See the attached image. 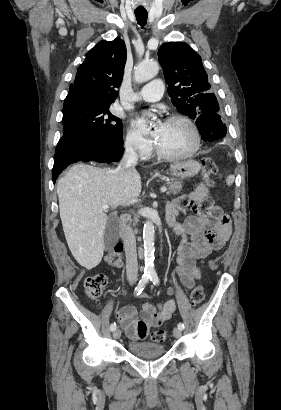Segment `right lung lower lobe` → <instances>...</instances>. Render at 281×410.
I'll list each match as a JSON object with an SVG mask.
<instances>
[{
	"mask_svg": "<svg viewBox=\"0 0 281 410\" xmlns=\"http://www.w3.org/2000/svg\"><path fill=\"white\" fill-rule=\"evenodd\" d=\"M123 140L84 142L56 150L52 179L55 183L58 175L72 163L79 161H98L110 163L119 161L123 154Z\"/></svg>",
	"mask_w": 281,
	"mask_h": 410,
	"instance_id": "1",
	"label": "right lung lower lobe"
}]
</instances>
